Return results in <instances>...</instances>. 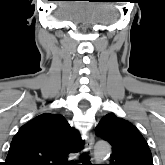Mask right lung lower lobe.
Here are the masks:
<instances>
[{"label":"right lung lower lobe","instance_id":"right-lung-lower-lobe-1","mask_svg":"<svg viewBox=\"0 0 165 165\" xmlns=\"http://www.w3.org/2000/svg\"><path fill=\"white\" fill-rule=\"evenodd\" d=\"M65 165H73L72 163H66Z\"/></svg>","mask_w":165,"mask_h":165}]
</instances>
